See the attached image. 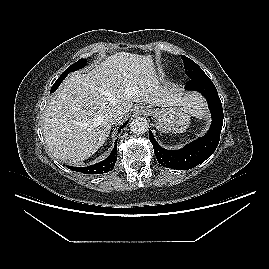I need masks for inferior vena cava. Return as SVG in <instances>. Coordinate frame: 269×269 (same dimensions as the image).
Wrapping results in <instances>:
<instances>
[{"instance_id": "1", "label": "inferior vena cava", "mask_w": 269, "mask_h": 269, "mask_svg": "<svg viewBox=\"0 0 269 269\" xmlns=\"http://www.w3.org/2000/svg\"><path fill=\"white\" fill-rule=\"evenodd\" d=\"M125 115V110L121 108H114L109 113L108 119L111 124H116Z\"/></svg>"}]
</instances>
